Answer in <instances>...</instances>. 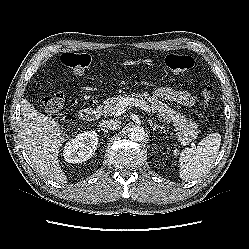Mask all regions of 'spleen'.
Returning a JSON list of instances; mask_svg holds the SVG:
<instances>
[{
	"instance_id": "3e777b00",
	"label": "spleen",
	"mask_w": 249,
	"mask_h": 249,
	"mask_svg": "<svg viewBox=\"0 0 249 249\" xmlns=\"http://www.w3.org/2000/svg\"><path fill=\"white\" fill-rule=\"evenodd\" d=\"M221 144V136L212 133L202 139L195 148H185L180 153V178L194 180L207 172L215 161ZM177 149L174 150L177 155Z\"/></svg>"
}]
</instances>
